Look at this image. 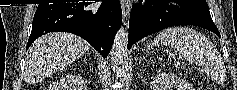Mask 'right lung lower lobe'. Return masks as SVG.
Instances as JSON below:
<instances>
[{"label": "right lung lower lobe", "instance_id": "1", "mask_svg": "<svg viewBox=\"0 0 237 90\" xmlns=\"http://www.w3.org/2000/svg\"><path fill=\"white\" fill-rule=\"evenodd\" d=\"M92 4H39L26 50L41 35L63 31L82 37L104 58L107 57L122 23L121 6L118 0H103L99 7Z\"/></svg>", "mask_w": 237, "mask_h": 90}]
</instances>
